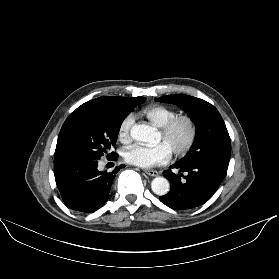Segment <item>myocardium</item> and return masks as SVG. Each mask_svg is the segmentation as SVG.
Instances as JSON below:
<instances>
[{"mask_svg":"<svg viewBox=\"0 0 279 279\" xmlns=\"http://www.w3.org/2000/svg\"><path fill=\"white\" fill-rule=\"evenodd\" d=\"M181 121H185L188 124L189 134L185 144L180 149L171 152L176 157L186 155L193 147L197 137V123L195 119L189 114H178L160 128L161 135L166 138Z\"/></svg>","mask_w":279,"mask_h":279,"instance_id":"obj_1","label":"myocardium"}]
</instances>
